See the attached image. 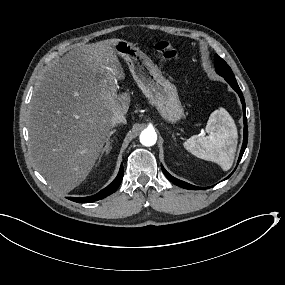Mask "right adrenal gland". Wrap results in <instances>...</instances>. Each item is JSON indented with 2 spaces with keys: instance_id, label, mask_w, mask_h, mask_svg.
Here are the masks:
<instances>
[{
  "instance_id": "right-adrenal-gland-1",
  "label": "right adrenal gland",
  "mask_w": 285,
  "mask_h": 285,
  "mask_svg": "<svg viewBox=\"0 0 285 285\" xmlns=\"http://www.w3.org/2000/svg\"><path fill=\"white\" fill-rule=\"evenodd\" d=\"M114 133H115V130H112V131L110 132V135H109V137H108V139H107V141H106V146H105L104 150L102 151V154L105 155V156H106L107 153H108L109 144L113 142V139H111V140L109 141V138H110V136H112Z\"/></svg>"
}]
</instances>
